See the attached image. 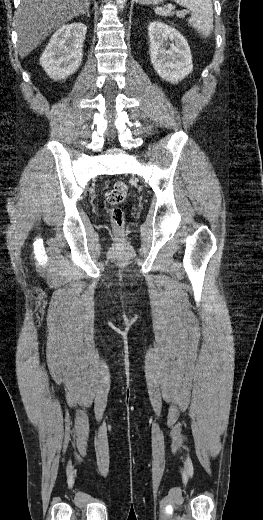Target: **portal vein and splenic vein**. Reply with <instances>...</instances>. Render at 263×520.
Instances as JSON below:
<instances>
[{
  "mask_svg": "<svg viewBox=\"0 0 263 520\" xmlns=\"http://www.w3.org/2000/svg\"><path fill=\"white\" fill-rule=\"evenodd\" d=\"M168 7H169V9H171V10H174V9L176 8L175 5H169Z\"/></svg>",
  "mask_w": 263,
  "mask_h": 520,
  "instance_id": "obj_1",
  "label": "portal vein and splenic vein"
}]
</instances>
